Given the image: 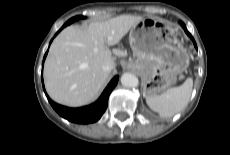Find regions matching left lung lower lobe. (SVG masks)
I'll list each match as a JSON object with an SVG mask.
<instances>
[{
  "label": "left lung lower lobe",
  "instance_id": "0a47b994",
  "mask_svg": "<svg viewBox=\"0 0 230 155\" xmlns=\"http://www.w3.org/2000/svg\"><path fill=\"white\" fill-rule=\"evenodd\" d=\"M180 23H181V26L184 28L185 32L187 33V35L192 39V41H193V43H194V46H195V48L197 49L196 42H195L194 38L192 37V35L187 31L185 24L182 23V22H180Z\"/></svg>",
  "mask_w": 230,
  "mask_h": 155
}]
</instances>
